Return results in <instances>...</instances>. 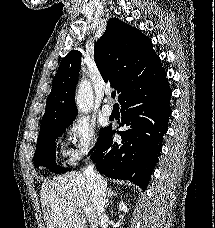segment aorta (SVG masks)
<instances>
[{
    "instance_id": "1",
    "label": "aorta",
    "mask_w": 215,
    "mask_h": 228,
    "mask_svg": "<svg viewBox=\"0 0 215 228\" xmlns=\"http://www.w3.org/2000/svg\"><path fill=\"white\" fill-rule=\"evenodd\" d=\"M75 100L78 110H80L82 114H88V112H90L92 108V92L91 86H89L87 82H81Z\"/></svg>"
}]
</instances>
